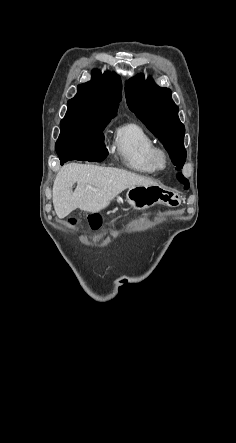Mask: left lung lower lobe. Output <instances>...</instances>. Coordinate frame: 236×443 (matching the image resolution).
I'll use <instances>...</instances> for the list:
<instances>
[{"instance_id": "left-lung-lower-lobe-1", "label": "left lung lower lobe", "mask_w": 236, "mask_h": 443, "mask_svg": "<svg viewBox=\"0 0 236 443\" xmlns=\"http://www.w3.org/2000/svg\"><path fill=\"white\" fill-rule=\"evenodd\" d=\"M178 179L185 185V189H188L189 182L182 174H178Z\"/></svg>"}]
</instances>
